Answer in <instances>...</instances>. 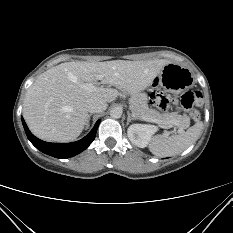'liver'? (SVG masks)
<instances>
[{
	"mask_svg": "<svg viewBox=\"0 0 233 233\" xmlns=\"http://www.w3.org/2000/svg\"><path fill=\"white\" fill-rule=\"evenodd\" d=\"M167 60L106 62H65L45 71L29 87L23 104V116L38 138L50 142L75 140L86 125V100L98 98L111 103L117 89L88 90L97 80L103 84L139 93L149 87ZM102 75V79H98ZM103 89V90H102Z\"/></svg>",
	"mask_w": 233,
	"mask_h": 233,
	"instance_id": "6515ba94",
	"label": "liver"
}]
</instances>
